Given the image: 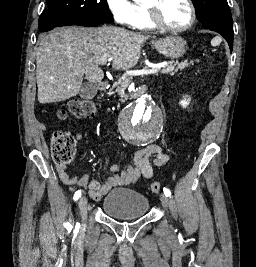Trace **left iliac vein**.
<instances>
[{
	"label": "left iliac vein",
	"instance_id": "4c4485c4",
	"mask_svg": "<svg viewBox=\"0 0 256 267\" xmlns=\"http://www.w3.org/2000/svg\"><path fill=\"white\" fill-rule=\"evenodd\" d=\"M159 199H160V201L162 202L163 207H164L165 209H169V208H170V206H171V201L169 200V198H168L166 195H164V194H160Z\"/></svg>",
	"mask_w": 256,
	"mask_h": 267
}]
</instances>
